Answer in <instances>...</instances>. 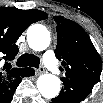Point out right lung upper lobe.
Returning <instances> with one entry per match:
<instances>
[{
  "label": "right lung upper lobe",
  "mask_w": 103,
  "mask_h": 103,
  "mask_svg": "<svg viewBox=\"0 0 103 103\" xmlns=\"http://www.w3.org/2000/svg\"><path fill=\"white\" fill-rule=\"evenodd\" d=\"M46 18L45 12L36 9L0 8V86L10 84L24 72L10 64L18 53L16 40L31 23Z\"/></svg>",
  "instance_id": "cb5924a9"
}]
</instances>
